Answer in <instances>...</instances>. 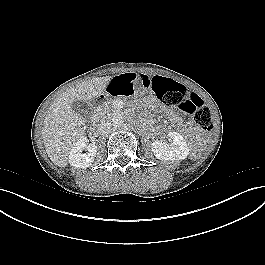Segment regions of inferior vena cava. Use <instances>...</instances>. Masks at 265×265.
<instances>
[{
    "label": "inferior vena cava",
    "mask_w": 265,
    "mask_h": 265,
    "mask_svg": "<svg viewBox=\"0 0 265 265\" xmlns=\"http://www.w3.org/2000/svg\"><path fill=\"white\" fill-rule=\"evenodd\" d=\"M97 129L100 134L107 135L112 131V123L107 119H103L98 124Z\"/></svg>",
    "instance_id": "602c4592"
}]
</instances>
